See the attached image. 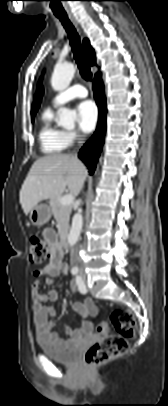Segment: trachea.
Instances as JSON below:
<instances>
[{
    "mask_svg": "<svg viewBox=\"0 0 168 406\" xmlns=\"http://www.w3.org/2000/svg\"><path fill=\"white\" fill-rule=\"evenodd\" d=\"M58 19L60 20V22L62 23L63 27L65 28L68 34L70 45L74 54V59L77 63L82 78L85 79L86 81H91L92 73L90 71L88 62L84 56L82 46L80 43V37L76 29L74 28L73 24L68 18L58 17Z\"/></svg>",
    "mask_w": 168,
    "mask_h": 406,
    "instance_id": "1",
    "label": "trachea"
}]
</instances>
